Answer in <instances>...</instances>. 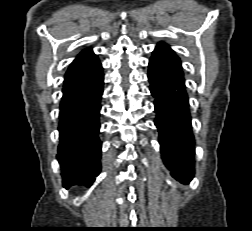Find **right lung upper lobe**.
Wrapping results in <instances>:
<instances>
[{"instance_id":"1","label":"right lung upper lobe","mask_w":252,"mask_h":231,"mask_svg":"<svg viewBox=\"0 0 252 231\" xmlns=\"http://www.w3.org/2000/svg\"><path fill=\"white\" fill-rule=\"evenodd\" d=\"M102 73V66L92 51V48L84 49L70 64L63 84V90H67L87 82Z\"/></svg>"}]
</instances>
